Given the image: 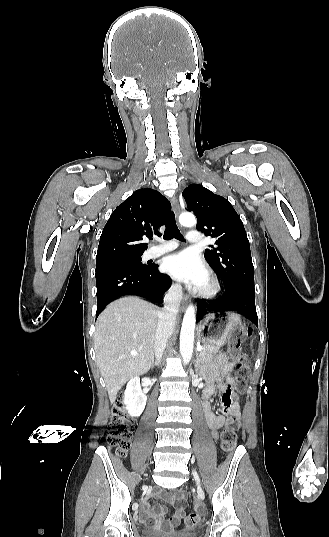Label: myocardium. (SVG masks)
I'll list each match as a JSON object with an SVG mask.
<instances>
[{"instance_id": "f54148a6", "label": "myocardium", "mask_w": 329, "mask_h": 537, "mask_svg": "<svg viewBox=\"0 0 329 537\" xmlns=\"http://www.w3.org/2000/svg\"><path fill=\"white\" fill-rule=\"evenodd\" d=\"M207 285L198 288L197 293L202 298H212L221 291V283L215 273H207Z\"/></svg>"}]
</instances>
